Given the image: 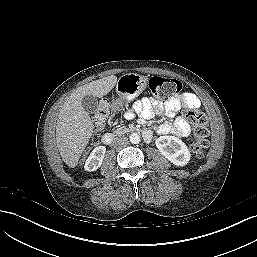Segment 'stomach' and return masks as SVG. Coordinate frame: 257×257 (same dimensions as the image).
Returning <instances> with one entry per match:
<instances>
[{
    "label": "stomach",
    "instance_id": "1",
    "mask_svg": "<svg viewBox=\"0 0 257 257\" xmlns=\"http://www.w3.org/2000/svg\"><path fill=\"white\" fill-rule=\"evenodd\" d=\"M146 86L147 79L144 76L128 73L118 79L116 91L123 100L132 101L145 90Z\"/></svg>",
    "mask_w": 257,
    "mask_h": 257
}]
</instances>
